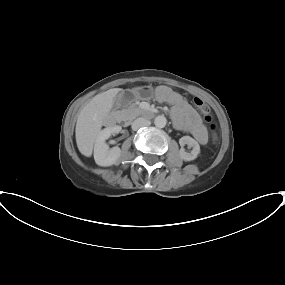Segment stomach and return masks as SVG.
Here are the masks:
<instances>
[{"mask_svg": "<svg viewBox=\"0 0 285 285\" xmlns=\"http://www.w3.org/2000/svg\"><path fill=\"white\" fill-rule=\"evenodd\" d=\"M153 95V89L149 86L137 87L130 92V99L149 100Z\"/></svg>", "mask_w": 285, "mask_h": 285, "instance_id": "stomach-1", "label": "stomach"}]
</instances>
